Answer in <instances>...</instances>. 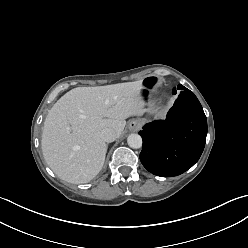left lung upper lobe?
<instances>
[{
  "label": "left lung upper lobe",
  "mask_w": 248,
  "mask_h": 248,
  "mask_svg": "<svg viewBox=\"0 0 248 248\" xmlns=\"http://www.w3.org/2000/svg\"><path fill=\"white\" fill-rule=\"evenodd\" d=\"M177 89H178V90H184L185 87H184L183 85L179 84V85L177 86ZM173 92H174V94H176V88H174Z\"/></svg>",
  "instance_id": "left-lung-upper-lobe-1"
}]
</instances>
